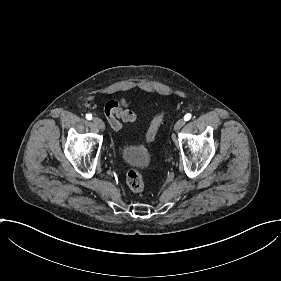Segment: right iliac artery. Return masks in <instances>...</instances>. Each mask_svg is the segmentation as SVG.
I'll use <instances>...</instances> for the list:
<instances>
[{"mask_svg": "<svg viewBox=\"0 0 281 281\" xmlns=\"http://www.w3.org/2000/svg\"><path fill=\"white\" fill-rule=\"evenodd\" d=\"M86 119L91 120L92 119V114H86Z\"/></svg>", "mask_w": 281, "mask_h": 281, "instance_id": "obj_1", "label": "right iliac artery"}]
</instances>
